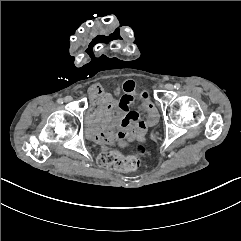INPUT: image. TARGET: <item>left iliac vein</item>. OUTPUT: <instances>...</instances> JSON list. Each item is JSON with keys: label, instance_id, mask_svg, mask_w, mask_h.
I'll return each mask as SVG.
<instances>
[{"label": "left iliac vein", "instance_id": "left-iliac-vein-1", "mask_svg": "<svg viewBox=\"0 0 241 241\" xmlns=\"http://www.w3.org/2000/svg\"><path fill=\"white\" fill-rule=\"evenodd\" d=\"M165 89H166V90H173L174 87H173L172 84H166V85H165Z\"/></svg>", "mask_w": 241, "mask_h": 241}]
</instances>
